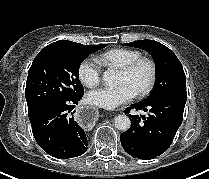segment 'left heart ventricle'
<instances>
[{"instance_id":"1","label":"left heart ventricle","mask_w":209,"mask_h":179,"mask_svg":"<svg viewBox=\"0 0 209 179\" xmlns=\"http://www.w3.org/2000/svg\"><path fill=\"white\" fill-rule=\"evenodd\" d=\"M150 70L145 64L139 66L132 74L118 73L117 84H128L137 93L149 81Z\"/></svg>"}]
</instances>
